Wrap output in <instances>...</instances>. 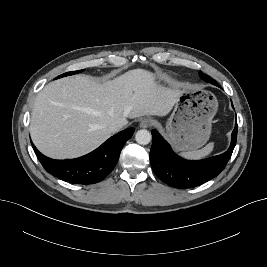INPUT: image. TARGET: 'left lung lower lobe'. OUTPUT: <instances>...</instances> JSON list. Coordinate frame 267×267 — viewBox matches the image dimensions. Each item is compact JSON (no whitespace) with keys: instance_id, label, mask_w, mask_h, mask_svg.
Returning a JSON list of instances; mask_svg holds the SVG:
<instances>
[{"instance_id":"obj_1","label":"left lung lower lobe","mask_w":267,"mask_h":267,"mask_svg":"<svg viewBox=\"0 0 267 267\" xmlns=\"http://www.w3.org/2000/svg\"><path fill=\"white\" fill-rule=\"evenodd\" d=\"M216 86L219 85L216 83ZM237 128L236 122L226 152L198 161L185 160L176 155L159 132L153 129L150 163L154 173L169 186L180 189L193 188L209 181L219 175L230 159L236 145Z\"/></svg>"}]
</instances>
